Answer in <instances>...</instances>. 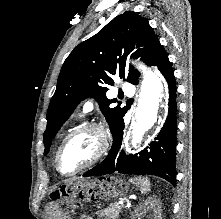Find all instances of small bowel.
Segmentation results:
<instances>
[{
	"label": "small bowel",
	"instance_id": "1",
	"mask_svg": "<svg viewBox=\"0 0 221 219\" xmlns=\"http://www.w3.org/2000/svg\"><path fill=\"white\" fill-rule=\"evenodd\" d=\"M80 219H92V218H90L88 216H82Z\"/></svg>",
	"mask_w": 221,
	"mask_h": 219
}]
</instances>
